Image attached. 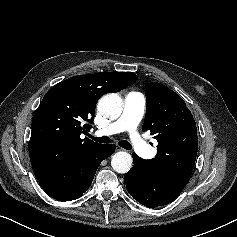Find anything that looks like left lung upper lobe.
<instances>
[{
    "mask_svg": "<svg viewBox=\"0 0 237 237\" xmlns=\"http://www.w3.org/2000/svg\"><path fill=\"white\" fill-rule=\"evenodd\" d=\"M145 94L147 111L142 129L158 141L157 154L148 161L163 174L190 177L198 150L190 110L177 93L160 83H148Z\"/></svg>",
    "mask_w": 237,
    "mask_h": 237,
    "instance_id": "1",
    "label": "left lung upper lobe"
}]
</instances>
